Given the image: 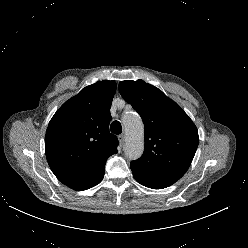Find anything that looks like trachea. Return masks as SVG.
<instances>
[{
    "label": "trachea",
    "instance_id": "obj_1",
    "mask_svg": "<svg viewBox=\"0 0 248 248\" xmlns=\"http://www.w3.org/2000/svg\"><path fill=\"white\" fill-rule=\"evenodd\" d=\"M110 130L112 133L118 135L122 132L121 123L119 121H113L110 125Z\"/></svg>",
    "mask_w": 248,
    "mask_h": 248
}]
</instances>
